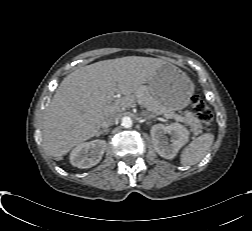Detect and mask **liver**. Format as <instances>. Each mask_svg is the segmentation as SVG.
Here are the masks:
<instances>
[{"mask_svg": "<svg viewBox=\"0 0 252 231\" xmlns=\"http://www.w3.org/2000/svg\"><path fill=\"white\" fill-rule=\"evenodd\" d=\"M166 62L151 57L127 56L99 61L66 76L43 117V144L61 159L73 147L97 136L102 122L117 114L125 99H108V92L131 96Z\"/></svg>", "mask_w": 252, "mask_h": 231, "instance_id": "6515ba94", "label": "liver"}]
</instances>
